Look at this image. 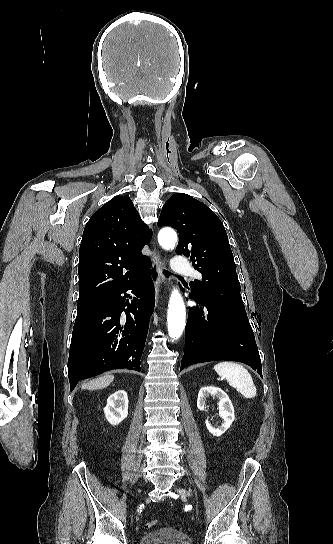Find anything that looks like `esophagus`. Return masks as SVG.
I'll return each instance as SVG.
<instances>
[{
	"label": "esophagus",
	"instance_id": "obj_1",
	"mask_svg": "<svg viewBox=\"0 0 333 544\" xmlns=\"http://www.w3.org/2000/svg\"><path fill=\"white\" fill-rule=\"evenodd\" d=\"M163 269H164V263L161 259L160 254L156 249L153 251L152 256V266L150 269L151 278L153 280L154 289H155V297H156V303L159 302V295L161 291V286L164 283V277H163Z\"/></svg>",
	"mask_w": 333,
	"mask_h": 544
}]
</instances>
